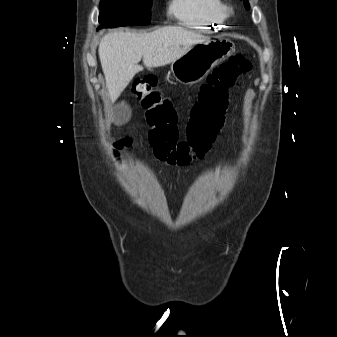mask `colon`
Here are the masks:
<instances>
[{"label": "colon", "mask_w": 337, "mask_h": 337, "mask_svg": "<svg viewBox=\"0 0 337 337\" xmlns=\"http://www.w3.org/2000/svg\"><path fill=\"white\" fill-rule=\"evenodd\" d=\"M251 67L247 59L236 55L207 77L192 107L184 139L179 137L176 111L168 99L161 97L156 79L151 76L136 78L131 92L145 111L148 140L155 157L172 165H184L202 158L223 125L228 88Z\"/></svg>", "instance_id": "colon-1"}]
</instances>
